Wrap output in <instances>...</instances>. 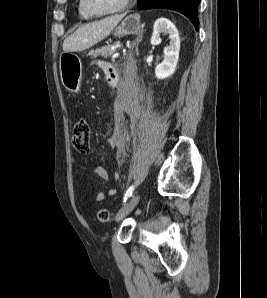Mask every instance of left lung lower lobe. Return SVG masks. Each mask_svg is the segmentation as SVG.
<instances>
[{"label":"left lung lower lobe","instance_id":"left-lung-lower-lobe-1","mask_svg":"<svg viewBox=\"0 0 267 298\" xmlns=\"http://www.w3.org/2000/svg\"><path fill=\"white\" fill-rule=\"evenodd\" d=\"M200 0H138V9H171L188 17L198 31L197 9Z\"/></svg>","mask_w":267,"mask_h":298}]
</instances>
